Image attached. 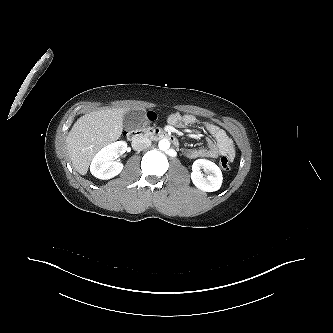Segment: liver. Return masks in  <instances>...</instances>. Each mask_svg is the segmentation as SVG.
<instances>
[{
	"label": "liver",
	"instance_id": "1",
	"mask_svg": "<svg viewBox=\"0 0 333 333\" xmlns=\"http://www.w3.org/2000/svg\"><path fill=\"white\" fill-rule=\"evenodd\" d=\"M126 109H101L80 117L67 136L74 169L85 175L95 154L119 139Z\"/></svg>",
	"mask_w": 333,
	"mask_h": 333
}]
</instances>
